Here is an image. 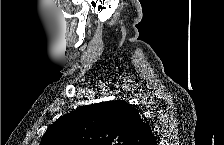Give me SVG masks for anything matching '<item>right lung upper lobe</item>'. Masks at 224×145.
Listing matches in <instances>:
<instances>
[{
	"instance_id": "cb5924a9",
	"label": "right lung upper lobe",
	"mask_w": 224,
	"mask_h": 145,
	"mask_svg": "<svg viewBox=\"0 0 224 145\" xmlns=\"http://www.w3.org/2000/svg\"><path fill=\"white\" fill-rule=\"evenodd\" d=\"M150 126L134 105L107 101L61 116L40 145H156Z\"/></svg>"
}]
</instances>
